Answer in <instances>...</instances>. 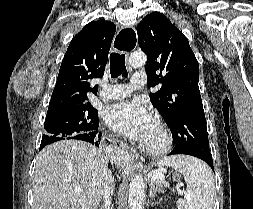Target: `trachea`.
<instances>
[{
    "label": "trachea",
    "mask_w": 253,
    "mask_h": 209,
    "mask_svg": "<svg viewBox=\"0 0 253 209\" xmlns=\"http://www.w3.org/2000/svg\"><path fill=\"white\" fill-rule=\"evenodd\" d=\"M110 73L112 78H116L119 75L127 77L124 54H119L116 52L110 54Z\"/></svg>",
    "instance_id": "3493384b"
}]
</instances>
